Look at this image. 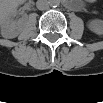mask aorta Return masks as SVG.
<instances>
[{
    "label": "aorta",
    "instance_id": "762f6f07",
    "mask_svg": "<svg viewBox=\"0 0 103 103\" xmlns=\"http://www.w3.org/2000/svg\"><path fill=\"white\" fill-rule=\"evenodd\" d=\"M58 4H59V2L57 0H51L49 2V5L52 6V7H56V6H58Z\"/></svg>",
    "mask_w": 103,
    "mask_h": 103
}]
</instances>
